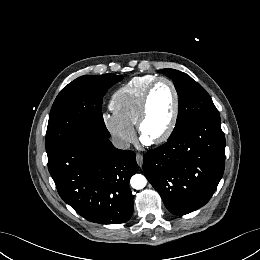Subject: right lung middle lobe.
<instances>
[{
  "label": "right lung middle lobe",
  "instance_id": "dd1d6c3e",
  "mask_svg": "<svg viewBox=\"0 0 260 260\" xmlns=\"http://www.w3.org/2000/svg\"><path fill=\"white\" fill-rule=\"evenodd\" d=\"M114 74L85 75L69 83L52 106L46 133L48 158L76 137L92 134L109 138L102 116V100L108 89L121 81Z\"/></svg>",
  "mask_w": 260,
  "mask_h": 260
}]
</instances>
